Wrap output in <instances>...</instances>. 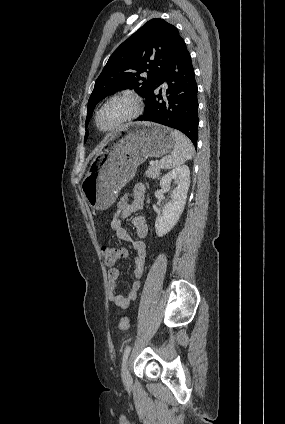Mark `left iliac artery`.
<instances>
[{
    "instance_id": "44dca946",
    "label": "left iliac artery",
    "mask_w": 285,
    "mask_h": 424,
    "mask_svg": "<svg viewBox=\"0 0 285 424\" xmlns=\"http://www.w3.org/2000/svg\"><path fill=\"white\" fill-rule=\"evenodd\" d=\"M130 350H131V346H127L125 348V350H124L123 362H122V372H123V369H124V365H125L126 359L128 358V355L130 353ZM122 377H123V374H122Z\"/></svg>"
}]
</instances>
